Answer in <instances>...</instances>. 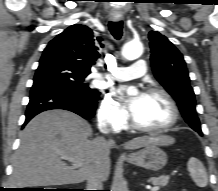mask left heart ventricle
Returning <instances> with one entry per match:
<instances>
[{
    "label": "left heart ventricle",
    "instance_id": "1",
    "mask_svg": "<svg viewBox=\"0 0 218 191\" xmlns=\"http://www.w3.org/2000/svg\"><path fill=\"white\" fill-rule=\"evenodd\" d=\"M133 116L141 126L160 128L170 122L172 111L162 96L145 94Z\"/></svg>",
    "mask_w": 218,
    "mask_h": 191
}]
</instances>
